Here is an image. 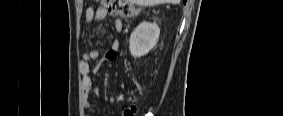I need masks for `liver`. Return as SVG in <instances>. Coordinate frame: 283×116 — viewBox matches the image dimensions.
Wrapping results in <instances>:
<instances>
[{
    "instance_id": "liver-1",
    "label": "liver",
    "mask_w": 283,
    "mask_h": 116,
    "mask_svg": "<svg viewBox=\"0 0 283 116\" xmlns=\"http://www.w3.org/2000/svg\"><path fill=\"white\" fill-rule=\"evenodd\" d=\"M138 5L153 6L162 3L178 4L180 0H133Z\"/></svg>"
}]
</instances>
